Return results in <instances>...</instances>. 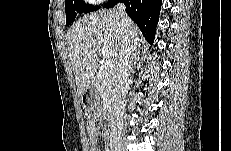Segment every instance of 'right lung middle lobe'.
I'll use <instances>...</instances> for the list:
<instances>
[{"mask_svg": "<svg viewBox=\"0 0 231 151\" xmlns=\"http://www.w3.org/2000/svg\"><path fill=\"white\" fill-rule=\"evenodd\" d=\"M98 6H92L86 4L83 0H66L65 11H66V25H70L76 16L80 13H88L97 10Z\"/></svg>", "mask_w": 231, "mask_h": 151, "instance_id": "1", "label": "right lung middle lobe"}]
</instances>
